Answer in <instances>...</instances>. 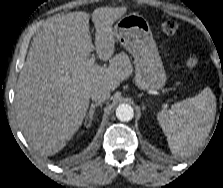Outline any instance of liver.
I'll use <instances>...</instances> for the list:
<instances>
[{"label": "liver", "mask_w": 223, "mask_h": 188, "mask_svg": "<svg viewBox=\"0 0 223 188\" xmlns=\"http://www.w3.org/2000/svg\"><path fill=\"white\" fill-rule=\"evenodd\" d=\"M126 7H101L91 14L95 46L89 32L90 15L83 11L46 21L33 38L16 86L15 104L20 130L43 155L59 152L80 128L91 91L115 90L129 76L124 60L112 59V25ZM109 60V67L88 66L90 53Z\"/></svg>", "instance_id": "1"}]
</instances>
